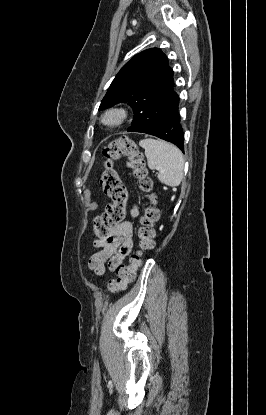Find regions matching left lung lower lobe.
Masks as SVG:
<instances>
[{"instance_id": "1", "label": "left lung lower lobe", "mask_w": 266, "mask_h": 415, "mask_svg": "<svg viewBox=\"0 0 266 415\" xmlns=\"http://www.w3.org/2000/svg\"><path fill=\"white\" fill-rule=\"evenodd\" d=\"M178 105L179 101L161 122L143 133L171 142L184 152V135Z\"/></svg>"}]
</instances>
